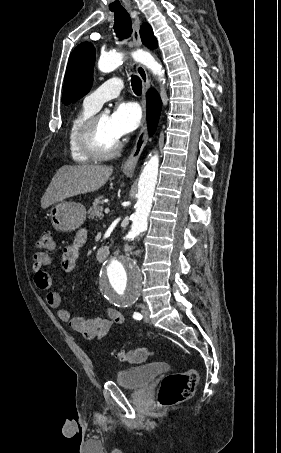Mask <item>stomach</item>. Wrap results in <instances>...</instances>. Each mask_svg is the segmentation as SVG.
<instances>
[{"label": "stomach", "instance_id": "obj_1", "mask_svg": "<svg viewBox=\"0 0 281 453\" xmlns=\"http://www.w3.org/2000/svg\"><path fill=\"white\" fill-rule=\"evenodd\" d=\"M49 216L56 231L72 233L81 227L86 220V208L81 202H66L60 200L52 204Z\"/></svg>", "mask_w": 281, "mask_h": 453}]
</instances>
